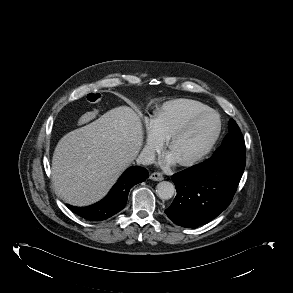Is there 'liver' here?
<instances>
[{
    "label": "liver",
    "mask_w": 293,
    "mask_h": 293,
    "mask_svg": "<svg viewBox=\"0 0 293 293\" xmlns=\"http://www.w3.org/2000/svg\"><path fill=\"white\" fill-rule=\"evenodd\" d=\"M142 142L141 120L127 106L111 109L67 133L52 158L57 194L74 206L99 201L136 158Z\"/></svg>",
    "instance_id": "1"
}]
</instances>
